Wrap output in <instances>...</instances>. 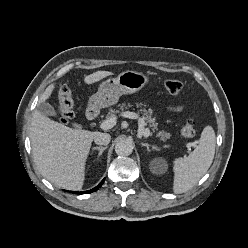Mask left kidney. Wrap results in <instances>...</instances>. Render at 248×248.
<instances>
[{
  "label": "left kidney",
  "instance_id": "left-kidney-1",
  "mask_svg": "<svg viewBox=\"0 0 248 248\" xmlns=\"http://www.w3.org/2000/svg\"><path fill=\"white\" fill-rule=\"evenodd\" d=\"M159 163H163V160L162 159H154L151 162L150 169L153 173H157V166Z\"/></svg>",
  "mask_w": 248,
  "mask_h": 248
}]
</instances>
